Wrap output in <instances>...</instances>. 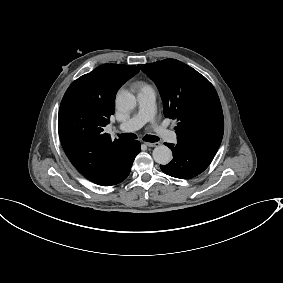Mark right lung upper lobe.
<instances>
[{"instance_id": "obj_1", "label": "right lung upper lobe", "mask_w": 283, "mask_h": 283, "mask_svg": "<svg viewBox=\"0 0 283 283\" xmlns=\"http://www.w3.org/2000/svg\"><path fill=\"white\" fill-rule=\"evenodd\" d=\"M138 71L136 66L103 64L75 80L64 94L60 141L74 167L90 181L118 168L130 153L132 141H112L103 127L114 114L118 89Z\"/></svg>"}]
</instances>
